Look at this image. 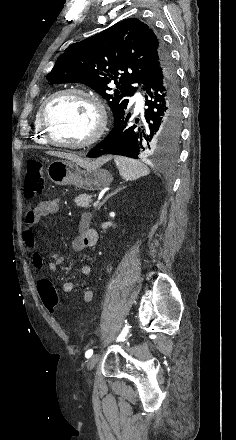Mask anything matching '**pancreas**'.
I'll list each match as a JSON object with an SVG mask.
<instances>
[{
    "instance_id": "1",
    "label": "pancreas",
    "mask_w": 236,
    "mask_h": 440,
    "mask_svg": "<svg viewBox=\"0 0 236 440\" xmlns=\"http://www.w3.org/2000/svg\"><path fill=\"white\" fill-rule=\"evenodd\" d=\"M92 196L88 194H81L75 198V203L78 207L88 208L92 203Z\"/></svg>"
}]
</instances>
